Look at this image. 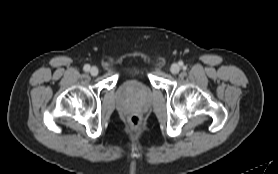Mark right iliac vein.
Listing matches in <instances>:
<instances>
[{"mask_svg": "<svg viewBox=\"0 0 278 174\" xmlns=\"http://www.w3.org/2000/svg\"><path fill=\"white\" fill-rule=\"evenodd\" d=\"M98 72H99V70H98V68L96 66L91 67L90 74L92 76H96L98 74Z\"/></svg>", "mask_w": 278, "mask_h": 174, "instance_id": "1", "label": "right iliac vein"}]
</instances>
